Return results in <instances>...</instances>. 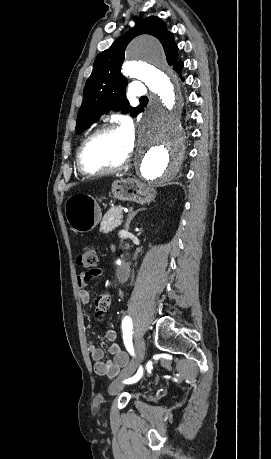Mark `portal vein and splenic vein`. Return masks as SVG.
<instances>
[{
	"mask_svg": "<svg viewBox=\"0 0 271 459\" xmlns=\"http://www.w3.org/2000/svg\"><path fill=\"white\" fill-rule=\"evenodd\" d=\"M118 218H119V219H123V218H124V217H123V214H118Z\"/></svg>",
	"mask_w": 271,
	"mask_h": 459,
	"instance_id": "1",
	"label": "portal vein and splenic vein"
}]
</instances>
